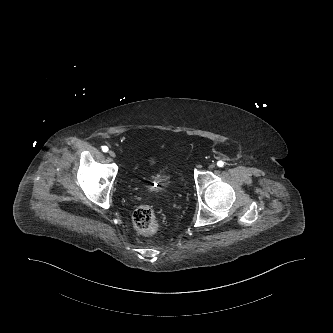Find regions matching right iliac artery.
<instances>
[{
    "label": "right iliac artery",
    "instance_id": "1",
    "mask_svg": "<svg viewBox=\"0 0 333 333\" xmlns=\"http://www.w3.org/2000/svg\"><path fill=\"white\" fill-rule=\"evenodd\" d=\"M108 150H109V149H108L107 146H103V147H102V151H103V152H108Z\"/></svg>",
    "mask_w": 333,
    "mask_h": 333
}]
</instances>
